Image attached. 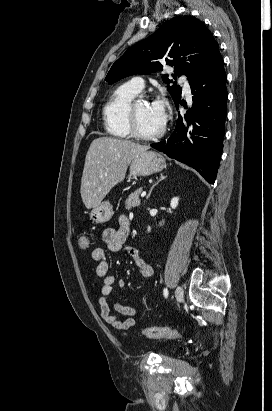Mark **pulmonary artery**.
Listing matches in <instances>:
<instances>
[{"instance_id":"1","label":"pulmonary artery","mask_w":272,"mask_h":411,"mask_svg":"<svg viewBox=\"0 0 272 411\" xmlns=\"http://www.w3.org/2000/svg\"><path fill=\"white\" fill-rule=\"evenodd\" d=\"M181 80H186L185 76L181 77ZM131 86L138 92H140L144 88V81L140 77H134L130 81ZM184 92L186 93L187 96H190V87L187 83L184 85Z\"/></svg>"}]
</instances>
